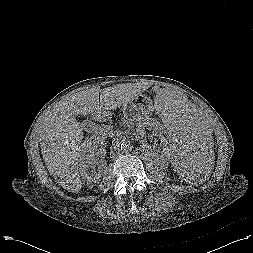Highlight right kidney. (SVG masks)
Listing matches in <instances>:
<instances>
[{"instance_id": "1", "label": "right kidney", "mask_w": 253, "mask_h": 253, "mask_svg": "<svg viewBox=\"0 0 253 253\" xmlns=\"http://www.w3.org/2000/svg\"><path fill=\"white\" fill-rule=\"evenodd\" d=\"M105 138L93 135L87 137L79 152V174L84 183L93 187L101 180L100 174L91 170L97 162V156L104 152Z\"/></svg>"}]
</instances>
